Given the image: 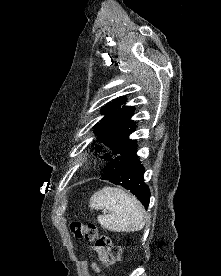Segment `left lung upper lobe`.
<instances>
[{
    "instance_id": "1",
    "label": "left lung upper lobe",
    "mask_w": 221,
    "mask_h": 276,
    "mask_svg": "<svg viewBox=\"0 0 221 276\" xmlns=\"http://www.w3.org/2000/svg\"><path fill=\"white\" fill-rule=\"evenodd\" d=\"M125 100V97H119L104 106L101 112L106 115L94 126L98 140L107 147L102 151L103 146L95 145V150L104 152L106 161L120 151L127 150L136 144L135 140L129 139V135L136 128L134 121L130 119L134 107L122 106Z\"/></svg>"
}]
</instances>
